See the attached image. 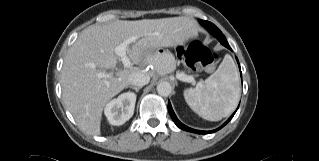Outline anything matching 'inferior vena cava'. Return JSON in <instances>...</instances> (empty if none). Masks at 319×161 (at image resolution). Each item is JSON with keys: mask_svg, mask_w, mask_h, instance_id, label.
I'll use <instances>...</instances> for the list:
<instances>
[{"mask_svg": "<svg viewBox=\"0 0 319 161\" xmlns=\"http://www.w3.org/2000/svg\"><path fill=\"white\" fill-rule=\"evenodd\" d=\"M149 81L150 76L141 72H134L129 78V84L136 87H143L144 85L148 84Z\"/></svg>", "mask_w": 319, "mask_h": 161, "instance_id": "inferior-vena-cava-1", "label": "inferior vena cava"}]
</instances>
